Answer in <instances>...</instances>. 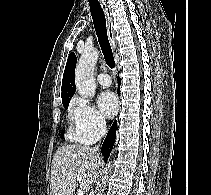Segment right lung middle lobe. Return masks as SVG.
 <instances>
[{"mask_svg":"<svg viewBox=\"0 0 211 195\" xmlns=\"http://www.w3.org/2000/svg\"><path fill=\"white\" fill-rule=\"evenodd\" d=\"M69 102L63 103L64 108H68Z\"/></svg>","mask_w":211,"mask_h":195,"instance_id":"right-lung-middle-lobe-1","label":"right lung middle lobe"}]
</instances>
